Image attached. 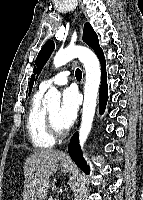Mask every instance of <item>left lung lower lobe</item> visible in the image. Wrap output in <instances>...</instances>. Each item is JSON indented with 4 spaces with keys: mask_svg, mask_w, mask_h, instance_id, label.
<instances>
[{
    "mask_svg": "<svg viewBox=\"0 0 143 200\" xmlns=\"http://www.w3.org/2000/svg\"><path fill=\"white\" fill-rule=\"evenodd\" d=\"M98 58L101 62L102 67V82L100 86V95H99V106L100 112L103 113L105 110L106 102H107V83H106V69H105V58L103 55V51L101 48L95 51ZM69 155L76 162V164L85 172L88 173V167L85 164V161L82 159L81 154L79 153V140L78 133H75L70 141L68 148Z\"/></svg>",
    "mask_w": 143,
    "mask_h": 200,
    "instance_id": "0a47b994",
    "label": "left lung lower lobe"
}]
</instances>
